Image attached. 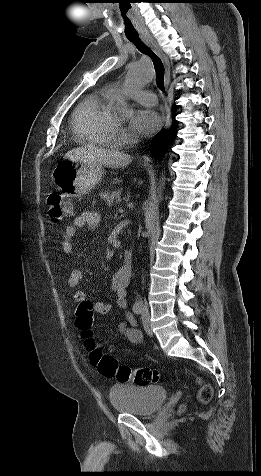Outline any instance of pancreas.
Segmentation results:
<instances>
[{"label": "pancreas", "instance_id": "pancreas-1", "mask_svg": "<svg viewBox=\"0 0 261 476\" xmlns=\"http://www.w3.org/2000/svg\"><path fill=\"white\" fill-rule=\"evenodd\" d=\"M121 191H113L111 193L109 192H101L100 196L103 198V200L108 204L109 207L113 205H119L121 203Z\"/></svg>", "mask_w": 261, "mask_h": 476}]
</instances>
